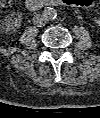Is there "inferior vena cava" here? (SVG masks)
Segmentation results:
<instances>
[{
  "instance_id": "602c4592",
  "label": "inferior vena cava",
  "mask_w": 100,
  "mask_h": 118,
  "mask_svg": "<svg viewBox=\"0 0 100 118\" xmlns=\"http://www.w3.org/2000/svg\"><path fill=\"white\" fill-rule=\"evenodd\" d=\"M33 24L37 27H42L46 24V19L42 14H36L33 17Z\"/></svg>"
}]
</instances>
